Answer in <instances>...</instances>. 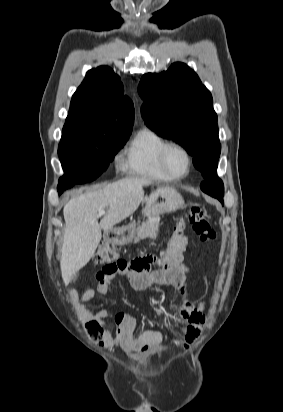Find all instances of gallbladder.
I'll return each mask as SVG.
<instances>
[{"label":"gallbladder","mask_w":283,"mask_h":412,"mask_svg":"<svg viewBox=\"0 0 283 412\" xmlns=\"http://www.w3.org/2000/svg\"><path fill=\"white\" fill-rule=\"evenodd\" d=\"M77 277H78V272H76L75 274H73V276H72V281H75L76 279H77Z\"/></svg>","instance_id":"1"}]
</instances>
